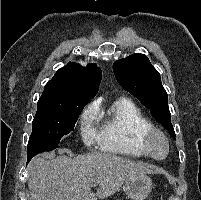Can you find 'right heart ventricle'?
I'll return each mask as SVG.
<instances>
[{"label":"right heart ventricle","instance_id":"obj_1","mask_svg":"<svg viewBox=\"0 0 201 200\" xmlns=\"http://www.w3.org/2000/svg\"><path fill=\"white\" fill-rule=\"evenodd\" d=\"M96 114L101 122L97 139L101 150L132 158L148 156L142 136L152 124L134 102L121 97Z\"/></svg>","mask_w":201,"mask_h":200}]
</instances>
